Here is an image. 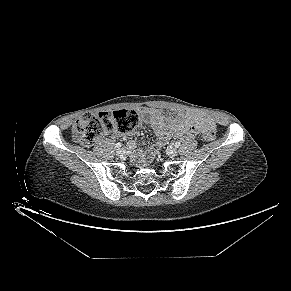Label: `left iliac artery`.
<instances>
[{"instance_id": "obj_1", "label": "left iliac artery", "mask_w": 291, "mask_h": 291, "mask_svg": "<svg viewBox=\"0 0 291 291\" xmlns=\"http://www.w3.org/2000/svg\"><path fill=\"white\" fill-rule=\"evenodd\" d=\"M179 146H180V142H178V141H177V142H175V147H177V148H178Z\"/></svg>"}]
</instances>
